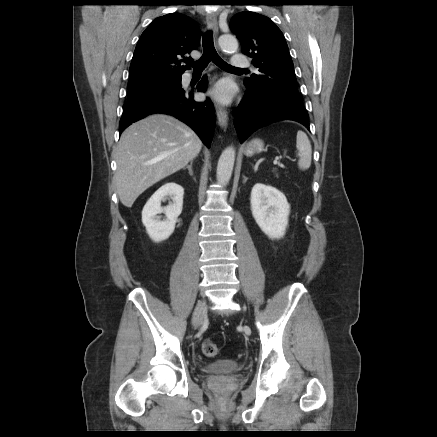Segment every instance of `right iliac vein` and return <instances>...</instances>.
<instances>
[{
    "mask_svg": "<svg viewBox=\"0 0 437 437\" xmlns=\"http://www.w3.org/2000/svg\"><path fill=\"white\" fill-rule=\"evenodd\" d=\"M206 312V302L204 300L199 301L192 317V323L194 327H198L201 325Z\"/></svg>",
    "mask_w": 437,
    "mask_h": 437,
    "instance_id": "63e3f726",
    "label": "right iliac vein"
}]
</instances>
